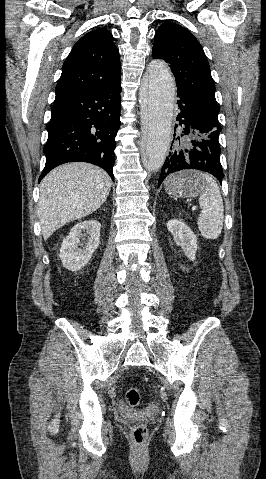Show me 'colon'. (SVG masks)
<instances>
[{
	"instance_id": "obj_1",
	"label": "colon",
	"mask_w": 266,
	"mask_h": 479,
	"mask_svg": "<svg viewBox=\"0 0 266 479\" xmlns=\"http://www.w3.org/2000/svg\"><path fill=\"white\" fill-rule=\"evenodd\" d=\"M126 401L129 406L137 407L141 403V393L136 388H130L126 392ZM131 437L136 445H141L147 437V429L142 424H137L132 428Z\"/></svg>"
}]
</instances>
